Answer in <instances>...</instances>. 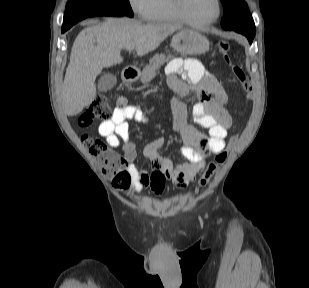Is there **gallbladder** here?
Returning <instances> with one entry per match:
<instances>
[{
  "instance_id": "1",
  "label": "gallbladder",
  "mask_w": 309,
  "mask_h": 288,
  "mask_svg": "<svg viewBox=\"0 0 309 288\" xmlns=\"http://www.w3.org/2000/svg\"><path fill=\"white\" fill-rule=\"evenodd\" d=\"M117 79L113 74H104L98 81V90L106 92L116 85Z\"/></svg>"
}]
</instances>
